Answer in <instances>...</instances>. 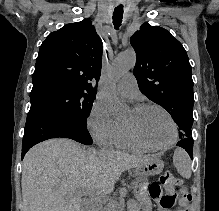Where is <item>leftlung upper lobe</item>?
Instances as JSON below:
<instances>
[{
	"label": "left lung upper lobe",
	"instance_id": "5c2ea615",
	"mask_svg": "<svg viewBox=\"0 0 219 211\" xmlns=\"http://www.w3.org/2000/svg\"><path fill=\"white\" fill-rule=\"evenodd\" d=\"M137 55L134 75L140 91L167 110L179 137H190L193 124L191 65L182 44L169 31L144 23L130 38Z\"/></svg>",
	"mask_w": 219,
	"mask_h": 211
}]
</instances>
